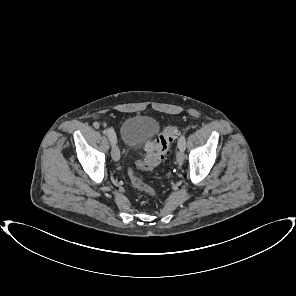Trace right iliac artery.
I'll use <instances>...</instances> for the list:
<instances>
[{"label":"right iliac artery","instance_id":"obj_1","mask_svg":"<svg viewBox=\"0 0 296 296\" xmlns=\"http://www.w3.org/2000/svg\"><path fill=\"white\" fill-rule=\"evenodd\" d=\"M104 133H105L106 135H108L111 144H112L113 142L116 141V135H115V132H114V130H113L112 128H108V129H106V130L104 131Z\"/></svg>","mask_w":296,"mask_h":296}]
</instances>
